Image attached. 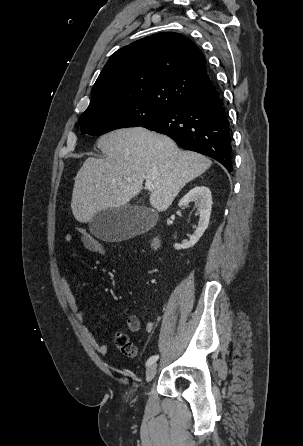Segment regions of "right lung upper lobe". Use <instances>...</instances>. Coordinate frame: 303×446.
Here are the masks:
<instances>
[{"mask_svg": "<svg viewBox=\"0 0 303 446\" xmlns=\"http://www.w3.org/2000/svg\"><path fill=\"white\" fill-rule=\"evenodd\" d=\"M212 88L205 57L195 43L181 34L157 33L110 57L87 109L125 102L173 107Z\"/></svg>", "mask_w": 303, "mask_h": 446, "instance_id": "right-lung-upper-lobe-1", "label": "right lung upper lobe"}]
</instances>
